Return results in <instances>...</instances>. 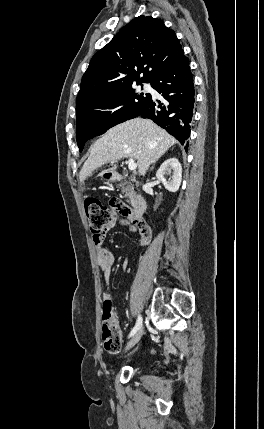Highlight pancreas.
Here are the masks:
<instances>
[{"label":"pancreas","instance_id":"pancreas-1","mask_svg":"<svg viewBox=\"0 0 264 429\" xmlns=\"http://www.w3.org/2000/svg\"><path fill=\"white\" fill-rule=\"evenodd\" d=\"M120 189H121L122 193H125V197H128L130 199V202H132L134 199V188H133V186L126 183V182H122V183H120Z\"/></svg>","mask_w":264,"mask_h":429}]
</instances>
